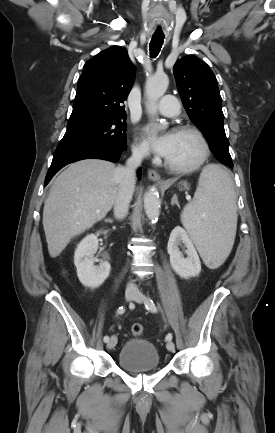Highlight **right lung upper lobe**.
Wrapping results in <instances>:
<instances>
[{
    "label": "right lung upper lobe",
    "instance_id": "1",
    "mask_svg": "<svg viewBox=\"0 0 275 433\" xmlns=\"http://www.w3.org/2000/svg\"><path fill=\"white\" fill-rule=\"evenodd\" d=\"M134 78L135 68L123 47L113 46L100 52L84 65L70 118L126 117L121 103L126 100Z\"/></svg>",
    "mask_w": 275,
    "mask_h": 433
}]
</instances>
